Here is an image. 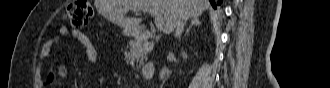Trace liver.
<instances>
[{
	"label": "liver",
	"instance_id": "6515ba94",
	"mask_svg": "<svg viewBox=\"0 0 330 88\" xmlns=\"http://www.w3.org/2000/svg\"><path fill=\"white\" fill-rule=\"evenodd\" d=\"M94 4L99 13L123 28L126 35L134 34L141 23V18L125 16L131 9H157L164 17L163 33L170 34L181 15L199 16L210 7L207 0H95Z\"/></svg>",
	"mask_w": 330,
	"mask_h": 88
}]
</instances>
